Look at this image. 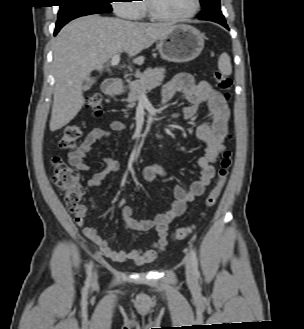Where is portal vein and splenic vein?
I'll return each instance as SVG.
<instances>
[{"label":"portal vein and splenic vein","instance_id":"portal-vein-and-splenic-vein-1","mask_svg":"<svg viewBox=\"0 0 304 329\" xmlns=\"http://www.w3.org/2000/svg\"><path fill=\"white\" fill-rule=\"evenodd\" d=\"M119 62H120V56L117 54L111 58L110 65L117 66L119 64ZM144 95H145V93L142 94V96H144Z\"/></svg>","mask_w":304,"mask_h":329}]
</instances>
